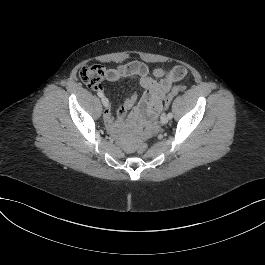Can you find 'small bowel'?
<instances>
[{
	"label": "small bowel",
	"mask_w": 265,
	"mask_h": 265,
	"mask_svg": "<svg viewBox=\"0 0 265 265\" xmlns=\"http://www.w3.org/2000/svg\"><path fill=\"white\" fill-rule=\"evenodd\" d=\"M102 70V78L112 82L122 78H139L142 88V96L137 105V94L129 95L118 109L117 119H114L109 108L106 109L103 117L105 124L111 131L123 127L126 119L132 123L139 120L149 122L155 119L162 109V103L166 95L187 74L184 66L177 65L170 70L156 68L150 75L148 66L140 61L120 63L113 68L102 67ZM91 87L98 92L103 91L100 84L96 83Z\"/></svg>",
	"instance_id": "c3829d8e"
}]
</instances>
